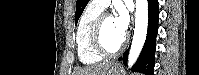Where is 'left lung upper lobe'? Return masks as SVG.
<instances>
[{
	"label": "left lung upper lobe",
	"instance_id": "5c2ea615",
	"mask_svg": "<svg viewBox=\"0 0 199 75\" xmlns=\"http://www.w3.org/2000/svg\"><path fill=\"white\" fill-rule=\"evenodd\" d=\"M88 2H89V0H77L76 1L75 23H77L79 17L81 16V14Z\"/></svg>",
	"mask_w": 199,
	"mask_h": 75
}]
</instances>
